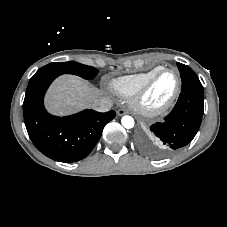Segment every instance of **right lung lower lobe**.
<instances>
[{"instance_id":"98d812e1","label":"right lung lower lobe","mask_w":227,"mask_h":227,"mask_svg":"<svg viewBox=\"0 0 227 227\" xmlns=\"http://www.w3.org/2000/svg\"><path fill=\"white\" fill-rule=\"evenodd\" d=\"M46 74L31 78L23 103L24 121L35 147L59 162L85 158L99 141L104 126L116 116L115 111L100 113L87 109L67 117L50 115L44 108V94L58 77Z\"/></svg>"}]
</instances>
